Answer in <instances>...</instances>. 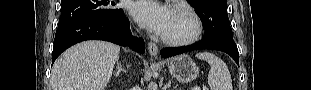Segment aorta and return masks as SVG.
<instances>
[{
    "instance_id": "1",
    "label": "aorta",
    "mask_w": 311,
    "mask_h": 90,
    "mask_svg": "<svg viewBox=\"0 0 311 90\" xmlns=\"http://www.w3.org/2000/svg\"><path fill=\"white\" fill-rule=\"evenodd\" d=\"M148 90H157V85L154 82H151L148 86Z\"/></svg>"
}]
</instances>
